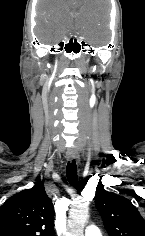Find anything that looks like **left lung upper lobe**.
<instances>
[{
	"label": "left lung upper lobe",
	"instance_id": "1",
	"mask_svg": "<svg viewBox=\"0 0 145 236\" xmlns=\"http://www.w3.org/2000/svg\"><path fill=\"white\" fill-rule=\"evenodd\" d=\"M96 207L109 236H145V221L137 208L125 197L98 187Z\"/></svg>",
	"mask_w": 145,
	"mask_h": 236
}]
</instances>
